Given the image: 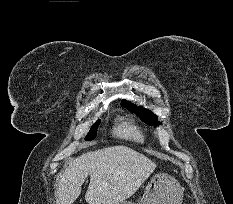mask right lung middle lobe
Returning a JSON list of instances; mask_svg holds the SVG:
<instances>
[{"label":"right lung middle lobe","instance_id":"right-lung-middle-lobe-1","mask_svg":"<svg viewBox=\"0 0 233 204\" xmlns=\"http://www.w3.org/2000/svg\"><path fill=\"white\" fill-rule=\"evenodd\" d=\"M98 125H99V121H97V122L91 127L90 132H89L88 135L85 137V140H86V141H90V140H92V139L95 138V136H96V129H97Z\"/></svg>","mask_w":233,"mask_h":204}]
</instances>
